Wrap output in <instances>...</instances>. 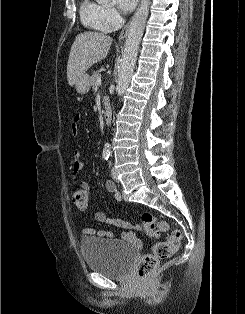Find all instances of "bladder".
I'll list each match as a JSON object with an SVG mask.
<instances>
[{
	"instance_id": "31cf9c89",
	"label": "bladder",
	"mask_w": 245,
	"mask_h": 314,
	"mask_svg": "<svg viewBox=\"0 0 245 314\" xmlns=\"http://www.w3.org/2000/svg\"><path fill=\"white\" fill-rule=\"evenodd\" d=\"M80 249L86 267L107 277H123L138 256V251L116 240L85 238Z\"/></svg>"
}]
</instances>
